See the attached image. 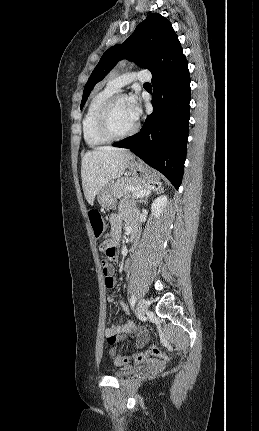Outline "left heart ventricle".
Returning <instances> with one entry per match:
<instances>
[{
	"label": "left heart ventricle",
	"mask_w": 259,
	"mask_h": 431,
	"mask_svg": "<svg viewBox=\"0 0 259 431\" xmlns=\"http://www.w3.org/2000/svg\"><path fill=\"white\" fill-rule=\"evenodd\" d=\"M136 120L131 116L127 107V99L119 100L112 110V126L116 132L123 133L130 130Z\"/></svg>",
	"instance_id": "left-heart-ventricle-1"
}]
</instances>
